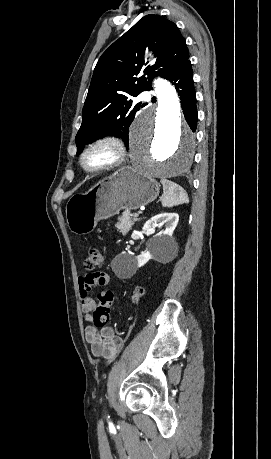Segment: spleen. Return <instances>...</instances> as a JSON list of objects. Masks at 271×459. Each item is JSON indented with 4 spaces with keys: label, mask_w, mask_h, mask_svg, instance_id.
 Wrapping results in <instances>:
<instances>
[{
    "label": "spleen",
    "mask_w": 271,
    "mask_h": 459,
    "mask_svg": "<svg viewBox=\"0 0 271 459\" xmlns=\"http://www.w3.org/2000/svg\"><path fill=\"white\" fill-rule=\"evenodd\" d=\"M163 186V194H162V206L164 208H171V206H177V204H188L189 200H182V198H178L177 184L174 182H169V180H160Z\"/></svg>",
    "instance_id": "obj_1"
}]
</instances>
